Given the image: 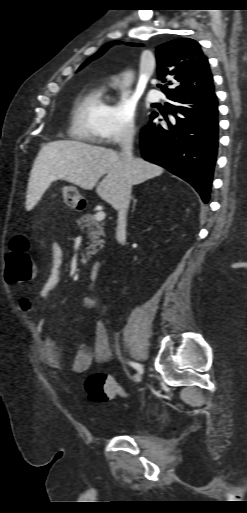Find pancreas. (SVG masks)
Listing matches in <instances>:
<instances>
[{
	"label": "pancreas",
	"mask_w": 247,
	"mask_h": 513,
	"mask_svg": "<svg viewBox=\"0 0 247 513\" xmlns=\"http://www.w3.org/2000/svg\"><path fill=\"white\" fill-rule=\"evenodd\" d=\"M78 226L80 228H88V238L91 240L90 246L87 248L89 251L87 252L88 255H94L98 252L97 246L102 247L103 246V240H101V236H104V230H103V224L98 223L95 220V216L90 213H86L82 215L78 221ZM92 249V250H90Z\"/></svg>",
	"instance_id": "1"
}]
</instances>
